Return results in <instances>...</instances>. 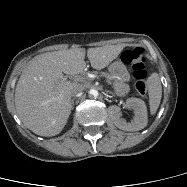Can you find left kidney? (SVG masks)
I'll return each mask as SVG.
<instances>
[{"label":"left kidney","mask_w":187,"mask_h":187,"mask_svg":"<svg viewBox=\"0 0 187 187\" xmlns=\"http://www.w3.org/2000/svg\"><path fill=\"white\" fill-rule=\"evenodd\" d=\"M126 105L134 110V118L131 123H127L126 120L120 117V108L118 106L112 105L109 107V114L115 126L125 131L143 129L147 125V108L144 101L139 98H129L126 100Z\"/></svg>","instance_id":"5707ae66"}]
</instances>
